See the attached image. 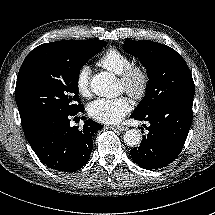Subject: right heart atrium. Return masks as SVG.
I'll use <instances>...</instances> for the list:
<instances>
[{
	"label": "right heart atrium",
	"instance_id": "1",
	"mask_svg": "<svg viewBox=\"0 0 215 215\" xmlns=\"http://www.w3.org/2000/svg\"><path fill=\"white\" fill-rule=\"evenodd\" d=\"M76 92L82 97L90 95V68L88 66L81 67L75 76Z\"/></svg>",
	"mask_w": 215,
	"mask_h": 215
}]
</instances>
